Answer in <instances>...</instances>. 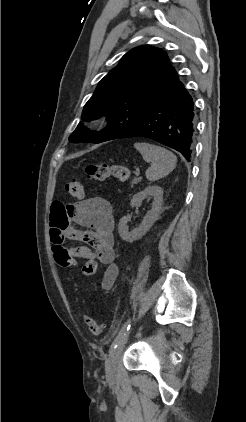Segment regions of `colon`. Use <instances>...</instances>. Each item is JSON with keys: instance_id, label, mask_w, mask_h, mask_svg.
<instances>
[{"instance_id": "1", "label": "colon", "mask_w": 246, "mask_h": 422, "mask_svg": "<svg viewBox=\"0 0 246 422\" xmlns=\"http://www.w3.org/2000/svg\"><path fill=\"white\" fill-rule=\"evenodd\" d=\"M87 179L91 181H104L110 176H114L120 181H126L129 177V170L123 165H110V164H89L85 168ZM66 191L74 198L82 199L84 197V187L80 180L73 178L66 184ZM56 263L61 267L72 266L75 259L70 253L63 249L58 248L54 252ZM97 271L96 261H86L82 267V273L85 276H93ZM83 321L90 333L98 335L104 329V322L98 319H93L87 315H83Z\"/></svg>"}]
</instances>
